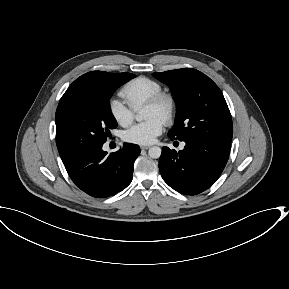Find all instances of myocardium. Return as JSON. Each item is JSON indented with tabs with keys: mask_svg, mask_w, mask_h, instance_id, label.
<instances>
[{
	"mask_svg": "<svg viewBox=\"0 0 289 289\" xmlns=\"http://www.w3.org/2000/svg\"><path fill=\"white\" fill-rule=\"evenodd\" d=\"M144 106L158 109L163 121L170 123L176 111V99L172 93L161 91L151 97Z\"/></svg>",
	"mask_w": 289,
	"mask_h": 289,
	"instance_id": "obj_1",
	"label": "myocardium"
}]
</instances>
